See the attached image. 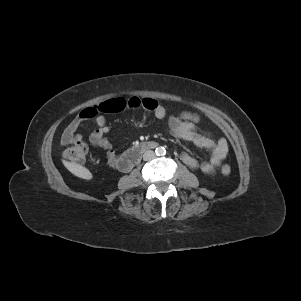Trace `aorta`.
Returning <instances> with one entry per match:
<instances>
[{"label": "aorta", "mask_w": 301, "mask_h": 301, "mask_svg": "<svg viewBox=\"0 0 301 301\" xmlns=\"http://www.w3.org/2000/svg\"><path fill=\"white\" fill-rule=\"evenodd\" d=\"M166 154V150L164 147H157L156 148V155L162 156Z\"/></svg>", "instance_id": "obj_1"}]
</instances>
